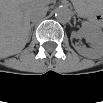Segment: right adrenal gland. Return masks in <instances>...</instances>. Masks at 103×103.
Segmentation results:
<instances>
[{
	"label": "right adrenal gland",
	"instance_id": "2a0ac1e0",
	"mask_svg": "<svg viewBox=\"0 0 103 103\" xmlns=\"http://www.w3.org/2000/svg\"><path fill=\"white\" fill-rule=\"evenodd\" d=\"M33 27H34V24H31L30 25V32L32 33V30H33Z\"/></svg>",
	"mask_w": 103,
	"mask_h": 103
}]
</instances>
